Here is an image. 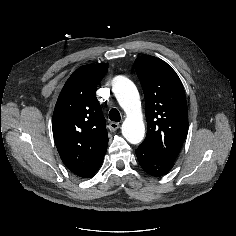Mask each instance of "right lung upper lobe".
Listing matches in <instances>:
<instances>
[{"instance_id":"1","label":"right lung upper lobe","mask_w":236,"mask_h":236,"mask_svg":"<svg viewBox=\"0 0 236 236\" xmlns=\"http://www.w3.org/2000/svg\"><path fill=\"white\" fill-rule=\"evenodd\" d=\"M105 63L79 67L55 105L52 129L59 155L74 174L89 178L101 166L108 146L106 122L96 98Z\"/></svg>"}]
</instances>
